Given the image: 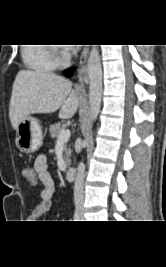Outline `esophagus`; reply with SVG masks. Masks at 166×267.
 Returning <instances> with one entry per match:
<instances>
[{
	"label": "esophagus",
	"instance_id": "obj_1",
	"mask_svg": "<svg viewBox=\"0 0 166 267\" xmlns=\"http://www.w3.org/2000/svg\"><path fill=\"white\" fill-rule=\"evenodd\" d=\"M87 54H88V48H84L83 52L81 54V58H80V65H83L84 62L86 61L87 58ZM88 82V76L86 73V69L84 67L81 68V70L79 71V84L78 87L79 88H84L85 84Z\"/></svg>",
	"mask_w": 166,
	"mask_h": 267
}]
</instances>
